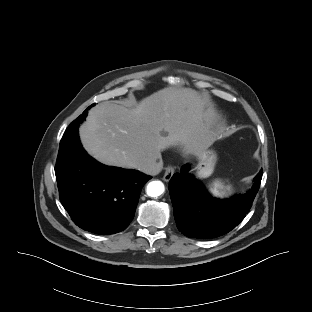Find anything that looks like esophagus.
Returning a JSON list of instances; mask_svg holds the SVG:
<instances>
[{"mask_svg":"<svg viewBox=\"0 0 312 312\" xmlns=\"http://www.w3.org/2000/svg\"><path fill=\"white\" fill-rule=\"evenodd\" d=\"M174 174V168L172 166H167L165 168L163 179L164 181H169Z\"/></svg>","mask_w":312,"mask_h":312,"instance_id":"34e87169","label":"esophagus"}]
</instances>
